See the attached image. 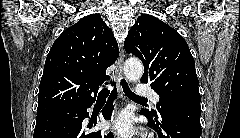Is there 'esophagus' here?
<instances>
[{
	"label": "esophagus",
	"instance_id": "1",
	"mask_svg": "<svg viewBox=\"0 0 240 138\" xmlns=\"http://www.w3.org/2000/svg\"><path fill=\"white\" fill-rule=\"evenodd\" d=\"M124 57H125L124 50H122L117 61V76H116L119 96L121 98L124 96L122 85H121V80L124 79V74H123Z\"/></svg>",
	"mask_w": 240,
	"mask_h": 138
}]
</instances>
